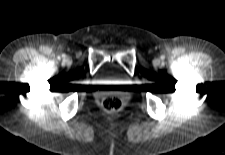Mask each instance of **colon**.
I'll return each instance as SVG.
<instances>
[{"instance_id":"obj_1","label":"colon","mask_w":225,"mask_h":155,"mask_svg":"<svg viewBox=\"0 0 225 155\" xmlns=\"http://www.w3.org/2000/svg\"><path fill=\"white\" fill-rule=\"evenodd\" d=\"M102 106L109 112L119 111L122 108V100L118 96H107L102 100Z\"/></svg>"}]
</instances>
